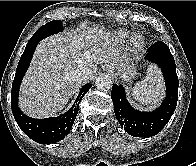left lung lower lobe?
I'll return each mask as SVG.
<instances>
[{"label": "left lung lower lobe", "instance_id": "obj_1", "mask_svg": "<svg viewBox=\"0 0 196 166\" xmlns=\"http://www.w3.org/2000/svg\"><path fill=\"white\" fill-rule=\"evenodd\" d=\"M145 59L157 64L163 72L167 91L159 108L152 112L135 110L127 101L121 85L114 84L111 92L116 119L133 137H150L158 134L170 120L178 99L179 81L176 65L168 46L162 41L155 42Z\"/></svg>", "mask_w": 196, "mask_h": 166}]
</instances>
